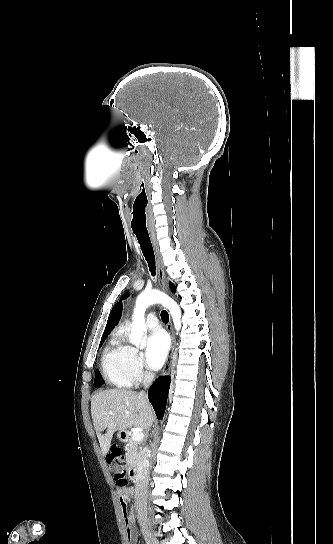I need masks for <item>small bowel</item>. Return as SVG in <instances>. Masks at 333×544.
<instances>
[{"label": "small bowel", "mask_w": 333, "mask_h": 544, "mask_svg": "<svg viewBox=\"0 0 333 544\" xmlns=\"http://www.w3.org/2000/svg\"><path fill=\"white\" fill-rule=\"evenodd\" d=\"M119 501L123 508L126 521L127 541L128 544H136L138 531L135 525V516L132 509L128 510L127 506L134 496V488L126 487L118 489Z\"/></svg>", "instance_id": "obj_1"}]
</instances>
